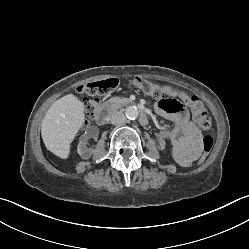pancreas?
I'll return each mask as SVG.
<instances>
[{"mask_svg":"<svg viewBox=\"0 0 249 249\" xmlns=\"http://www.w3.org/2000/svg\"><path fill=\"white\" fill-rule=\"evenodd\" d=\"M130 100L128 98H120V97H113L109 100V102H129Z\"/></svg>","mask_w":249,"mask_h":249,"instance_id":"pancreas-1","label":"pancreas"}]
</instances>
